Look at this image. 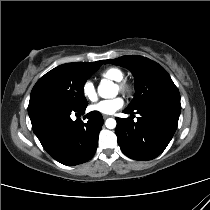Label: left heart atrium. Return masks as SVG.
Returning <instances> with one entry per match:
<instances>
[{"instance_id":"39dd6f15","label":"left heart atrium","mask_w":210,"mask_h":210,"mask_svg":"<svg viewBox=\"0 0 210 210\" xmlns=\"http://www.w3.org/2000/svg\"><path fill=\"white\" fill-rule=\"evenodd\" d=\"M124 101L121 97H115L108 100H102L89 107L93 112H98L104 115H110L122 108Z\"/></svg>"}]
</instances>
